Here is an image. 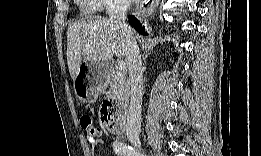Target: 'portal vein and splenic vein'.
<instances>
[{
  "instance_id": "18ae733b",
  "label": "portal vein and splenic vein",
  "mask_w": 261,
  "mask_h": 156,
  "mask_svg": "<svg viewBox=\"0 0 261 156\" xmlns=\"http://www.w3.org/2000/svg\"><path fill=\"white\" fill-rule=\"evenodd\" d=\"M118 69H119L120 71H125V69H126V64H125V62L119 61V62H118Z\"/></svg>"
}]
</instances>
